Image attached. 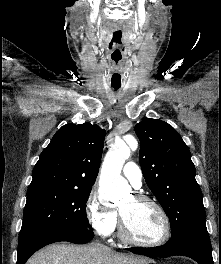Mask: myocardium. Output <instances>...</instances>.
I'll return each instance as SVG.
<instances>
[{"instance_id":"myocardium-1","label":"myocardium","mask_w":221,"mask_h":264,"mask_svg":"<svg viewBox=\"0 0 221 264\" xmlns=\"http://www.w3.org/2000/svg\"><path fill=\"white\" fill-rule=\"evenodd\" d=\"M133 198L138 202L149 203L157 209V211L161 215L163 223H164V232H163L162 237L160 239H158L157 241H154V242L140 241V240L136 239L135 237H133V235L131 234V232L128 228L127 223L125 222V220L122 216V214L119 212V234H120L121 238L126 243H129V244H132L135 246H139V247L153 248V247H159V246L165 244L171 236V222H170V218H169L166 210L164 209V207L154 198L147 196V195H144V194H136L133 196Z\"/></svg>"}]
</instances>
